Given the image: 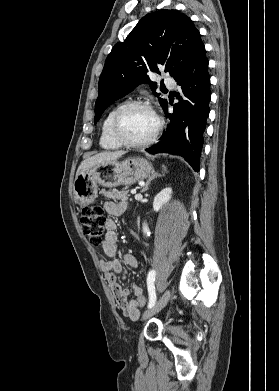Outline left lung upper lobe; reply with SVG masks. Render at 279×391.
Listing matches in <instances>:
<instances>
[{
  "label": "left lung upper lobe",
  "mask_w": 279,
  "mask_h": 391,
  "mask_svg": "<svg viewBox=\"0 0 279 391\" xmlns=\"http://www.w3.org/2000/svg\"><path fill=\"white\" fill-rule=\"evenodd\" d=\"M201 35L193 21L177 10H160L146 15L125 41L115 44L108 55L99 79L95 103L96 123L115 100L147 83L162 108L168 103L156 92L152 73L164 68L174 79L191 65L203 47Z\"/></svg>",
  "instance_id": "5c2ea615"
}]
</instances>
